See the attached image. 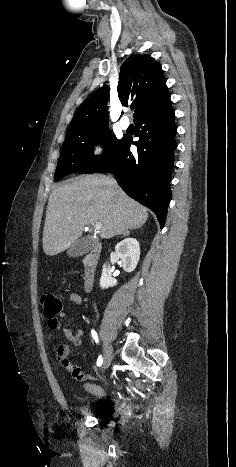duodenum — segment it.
I'll return each mask as SVG.
<instances>
[{"mask_svg": "<svg viewBox=\"0 0 236 467\" xmlns=\"http://www.w3.org/2000/svg\"><path fill=\"white\" fill-rule=\"evenodd\" d=\"M101 250L102 246L100 243L92 242L90 244L83 274V289L85 292H89L93 286Z\"/></svg>", "mask_w": 236, "mask_h": 467, "instance_id": "obj_1", "label": "duodenum"}]
</instances>
